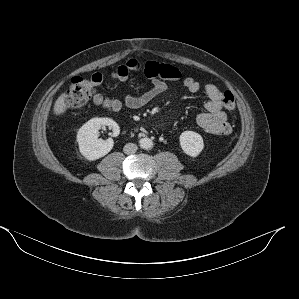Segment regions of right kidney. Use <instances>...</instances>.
Segmentation results:
<instances>
[{
  "label": "right kidney",
  "mask_w": 299,
  "mask_h": 299,
  "mask_svg": "<svg viewBox=\"0 0 299 299\" xmlns=\"http://www.w3.org/2000/svg\"><path fill=\"white\" fill-rule=\"evenodd\" d=\"M108 126L113 131L114 137L120 133L118 124L109 118H92L86 122L77 133V142L80 153L89 161L97 160L108 154L113 148L112 138L102 140L99 138V129Z\"/></svg>",
  "instance_id": "ca27d5eb"
}]
</instances>
